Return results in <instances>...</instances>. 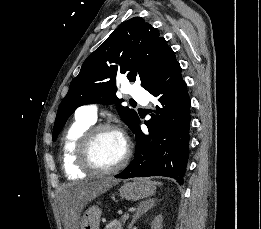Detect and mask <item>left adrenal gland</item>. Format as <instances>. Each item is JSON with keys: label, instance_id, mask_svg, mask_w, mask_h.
Wrapping results in <instances>:
<instances>
[{"label": "left adrenal gland", "instance_id": "left-adrenal-gland-1", "mask_svg": "<svg viewBox=\"0 0 261 229\" xmlns=\"http://www.w3.org/2000/svg\"><path fill=\"white\" fill-rule=\"evenodd\" d=\"M155 201L156 199H148V201H141V203H139V207H137V211H135V215H133V219L130 225H128V229H132L136 219H139L143 213H147L149 209L156 207Z\"/></svg>", "mask_w": 261, "mask_h": 229}]
</instances>
